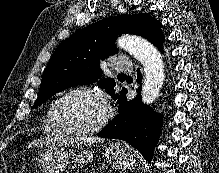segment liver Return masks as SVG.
Wrapping results in <instances>:
<instances>
[{
  "mask_svg": "<svg viewBox=\"0 0 219 173\" xmlns=\"http://www.w3.org/2000/svg\"><path fill=\"white\" fill-rule=\"evenodd\" d=\"M85 140L87 142H95V143L103 141V139L97 138V137H90V138H86ZM68 142L72 143L73 140L66 139L65 144H67ZM48 143H50L49 139H46L45 141L44 140H34L33 142L30 143L29 146L32 147V146H38V145H43V144H48Z\"/></svg>",
  "mask_w": 219,
  "mask_h": 173,
  "instance_id": "obj_1",
  "label": "liver"
}]
</instances>
